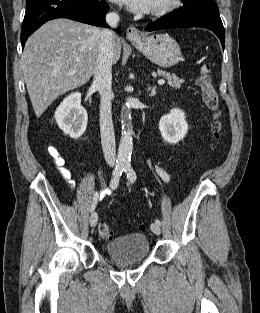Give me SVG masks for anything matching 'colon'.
Returning <instances> with one entry per match:
<instances>
[{"label": "colon", "mask_w": 260, "mask_h": 313, "mask_svg": "<svg viewBox=\"0 0 260 313\" xmlns=\"http://www.w3.org/2000/svg\"><path fill=\"white\" fill-rule=\"evenodd\" d=\"M210 65L204 63L197 76V85L201 89L202 98L206 107L212 113L211 130L216 138H219L223 131V124L221 120V109L218 93L213 85L210 76ZM99 236L103 239H111L113 237L112 228L106 223H100L98 227Z\"/></svg>", "instance_id": "5ec220e1"}]
</instances>
